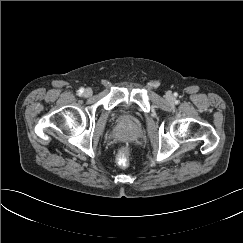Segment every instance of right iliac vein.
Returning <instances> with one entry per match:
<instances>
[{"label":"right iliac vein","mask_w":243,"mask_h":243,"mask_svg":"<svg viewBox=\"0 0 243 243\" xmlns=\"http://www.w3.org/2000/svg\"><path fill=\"white\" fill-rule=\"evenodd\" d=\"M92 95V90L91 89H86L85 91H84V96H86V97H89V96H91Z\"/></svg>","instance_id":"right-iliac-vein-1"}]
</instances>
